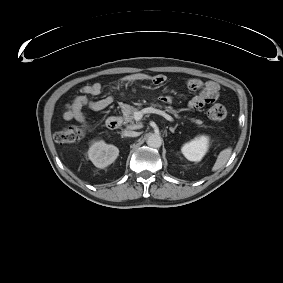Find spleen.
I'll list each match as a JSON object with an SVG mask.
<instances>
[{
	"mask_svg": "<svg viewBox=\"0 0 283 283\" xmlns=\"http://www.w3.org/2000/svg\"><path fill=\"white\" fill-rule=\"evenodd\" d=\"M231 153H232L231 147H228V148L222 150L219 153L214 166L212 167V171H217L220 168H222L227 163V161L229 160Z\"/></svg>",
	"mask_w": 283,
	"mask_h": 283,
	"instance_id": "obj_1",
	"label": "spleen"
}]
</instances>
